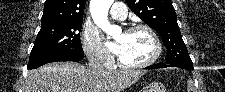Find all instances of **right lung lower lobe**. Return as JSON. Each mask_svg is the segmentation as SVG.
Returning <instances> with one entry per match:
<instances>
[{"mask_svg":"<svg viewBox=\"0 0 225 92\" xmlns=\"http://www.w3.org/2000/svg\"><path fill=\"white\" fill-rule=\"evenodd\" d=\"M84 57L83 50H65L49 53L29 59L27 69H35L44 64L57 61H80Z\"/></svg>","mask_w":225,"mask_h":92,"instance_id":"1","label":"right lung lower lobe"}]
</instances>
